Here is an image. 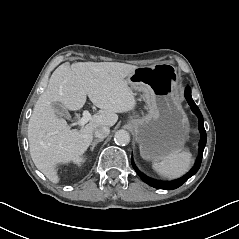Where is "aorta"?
Listing matches in <instances>:
<instances>
[{
	"label": "aorta",
	"mask_w": 239,
	"mask_h": 239,
	"mask_svg": "<svg viewBox=\"0 0 239 239\" xmlns=\"http://www.w3.org/2000/svg\"><path fill=\"white\" fill-rule=\"evenodd\" d=\"M114 140L118 145H127L130 143V134L126 130H118L114 135Z\"/></svg>",
	"instance_id": "obj_1"
}]
</instances>
